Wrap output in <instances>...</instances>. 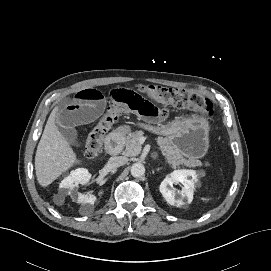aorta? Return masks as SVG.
<instances>
[{"mask_svg":"<svg viewBox=\"0 0 271 271\" xmlns=\"http://www.w3.org/2000/svg\"><path fill=\"white\" fill-rule=\"evenodd\" d=\"M130 172L133 177L138 178L145 174V167L142 163H134L131 166Z\"/></svg>","mask_w":271,"mask_h":271,"instance_id":"obj_1","label":"aorta"}]
</instances>
